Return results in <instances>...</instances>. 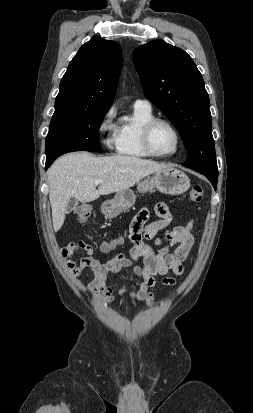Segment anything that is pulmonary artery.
Wrapping results in <instances>:
<instances>
[{"label":"pulmonary artery","mask_w":253,"mask_h":413,"mask_svg":"<svg viewBox=\"0 0 253 413\" xmlns=\"http://www.w3.org/2000/svg\"><path fill=\"white\" fill-rule=\"evenodd\" d=\"M134 106L151 109V103L146 99H136Z\"/></svg>","instance_id":"e3ab8cb5"}]
</instances>
